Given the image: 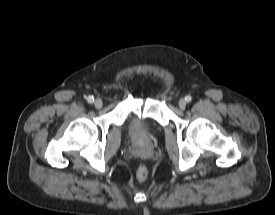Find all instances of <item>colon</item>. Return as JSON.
Segmentation results:
<instances>
[{"mask_svg": "<svg viewBox=\"0 0 275 215\" xmlns=\"http://www.w3.org/2000/svg\"><path fill=\"white\" fill-rule=\"evenodd\" d=\"M149 175V171L148 168L144 165H140L137 169H136V177L138 180L140 181H144L147 179Z\"/></svg>", "mask_w": 275, "mask_h": 215, "instance_id": "5ec220e1", "label": "colon"}]
</instances>
